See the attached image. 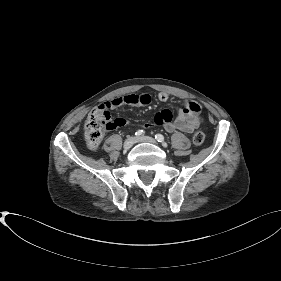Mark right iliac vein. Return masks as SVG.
Returning <instances> with one entry per match:
<instances>
[{
  "instance_id": "obj_1",
  "label": "right iliac vein",
  "mask_w": 281,
  "mask_h": 281,
  "mask_svg": "<svg viewBox=\"0 0 281 281\" xmlns=\"http://www.w3.org/2000/svg\"><path fill=\"white\" fill-rule=\"evenodd\" d=\"M136 142V138L135 137H129L126 139V141L124 142V149L128 150L130 149Z\"/></svg>"
}]
</instances>
